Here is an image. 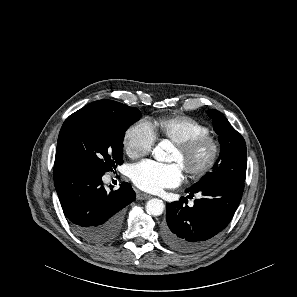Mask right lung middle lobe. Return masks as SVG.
<instances>
[{"label": "right lung middle lobe", "instance_id": "1", "mask_svg": "<svg viewBox=\"0 0 297 297\" xmlns=\"http://www.w3.org/2000/svg\"><path fill=\"white\" fill-rule=\"evenodd\" d=\"M119 114L73 113L58 137L55 166H77L104 175L123 163L125 131L141 113L135 107L118 104Z\"/></svg>", "mask_w": 297, "mask_h": 297}]
</instances>
